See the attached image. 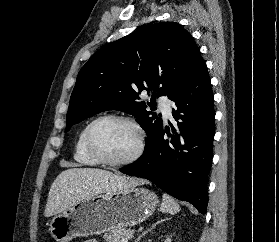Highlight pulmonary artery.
<instances>
[{"instance_id": "pulmonary-artery-1", "label": "pulmonary artery", "mask_w": 279, "mask_h": 242, "mask_svg": "<svg viewBox=\"0 0 279 242\" xmlns=\"http://www.w3.org/2000/svg\"><path fill=\"white\" fill-rule=\"evenodd\" d=\"M158 106L165 119H170L172 117L171 102L165 96H160L158 98Z\"/></svg>"}]
</instances>
